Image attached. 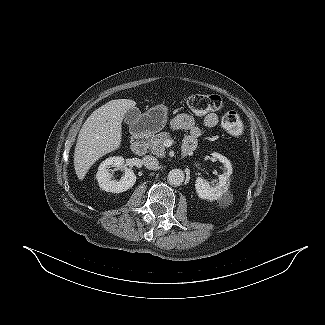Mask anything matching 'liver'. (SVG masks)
I'll list each match as a JSON object with an SVG mask.
<instances>
[{
	"label": "liver",
	"instance_id": "1",
	"mask_svg": "<svg viewBox=\"0 0 325 325\" xmlns=\"http://www.w3.org/2000/svg\"><path fill=\"white\" fill-rule=\"evenodd\" d=\"M135 105L130 99L111 100L93 111L84 122L74 152V168L79 180L84 179L99 158L120 147L123 117Z\"/></svg>",
	"mask_w": 325,
	"mask_h": 325
}]
</instances>
